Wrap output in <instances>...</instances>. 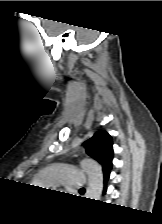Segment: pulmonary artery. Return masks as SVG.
Returning a JSON list of instances; mask_svg holds the SVG:
<instances>
[{"mask_svg":"<svg viewBox=\"0 0 162 224\" xmlns=\"http://www.w3.org/2000/svg\"><path fill=\"white\" fill-rule=\"evenodd\" d=\"M38 181L47 186H65L79 189L84 186L85 174L70 165L45 169L38 176Z\"/></svg>","mask_w":162,"mask_h":224,"instance_id":"1","label":"pulmonary artery"}]
</instances>
